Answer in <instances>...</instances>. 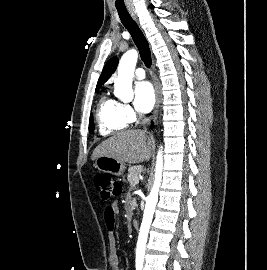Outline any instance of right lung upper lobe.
Masks as SVG:
<instances>
[{
  "label": "right lung upper lobe",
  "instance_id": "right-lung-upper-lobe-1",
  "mask_svg": "<svg viewBox=\"0 0 267 270\" xmlns=\"http://www.w3.org/2000/svg\"><path fill=\"white\" fill-rule=\"evenodd\" d=\"M118 65V58L113 57L111 58L106 65L103 68V71L100 75V78L98 80L96 89H99L109 78L110 76L115 72Z\"/></svg>",
  "mask_w": 267,
  "mask_h": 270
}]
</instances>
